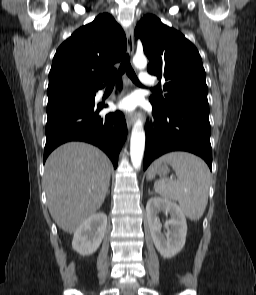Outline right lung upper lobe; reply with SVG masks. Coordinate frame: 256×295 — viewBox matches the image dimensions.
I'll list each match as a JSON object with an SVG mask.
<instances>
[{
    "label": "right lung upper lobe",
    "mask_w": 256,
    "mask_h": 295,
    "mask_svg": "<svg viewBox=\"0 0 256 295\" xmlns=\"http://www.w3.org/2000/svg\"><path fill=\"white\" fill-rule=\"evenodd\" d=\"M126 48L122 28L111 15L100 14L57 49L49 73L48 98L103 87L115 74L114 64Z\"/></svg>",
    "instance_id": "obj_1"
}]
</instances>
